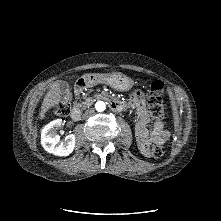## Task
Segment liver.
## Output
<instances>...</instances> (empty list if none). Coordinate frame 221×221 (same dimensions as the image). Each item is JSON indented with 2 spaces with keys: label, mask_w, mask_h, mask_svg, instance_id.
<instances>
[{
  "label": "liver",
  "mask_w": 221,
  "mask_h": 221,
  "mask_svg": "<svg viewBox=\"0 0 221 221\" xmlns=\"http://www.w3.org/2000/svg\"><path fill=\"white\" fill-rule=\"evenodd\" d=\"M61 97L62 91L60 90L59 83H56L50 88L43 100L40 111V119H43L46 112L60 102Z\"/></svg>",
  "instance_id": "obj_1"
}]
</instances>
